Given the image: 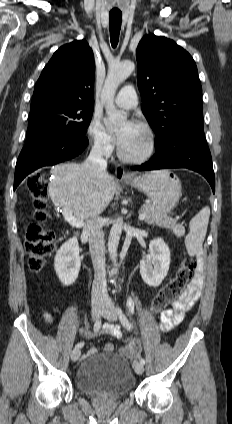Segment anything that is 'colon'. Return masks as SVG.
Segmentation results:
<instances>
[{
	"mask_svg": "<svg viewBox=\"0 0 232 424\" xmlns=\"http://www.w3.org/2000/svg\"><path fill=\"white\" fill-rule=\"evenodd\" d=\"M28 189L33 199L35 213L34 222L30 224L26 233L25 248L28 254L30 270L38 272L43 268L46 258L55 247V236L52 231L45 229L43 226L48 217V196L44 176H32L28 181ZM195 266L196 263L193 258L184 256L181 259L176 275L153 298L151 303L152 312H162L181 295L192 277ZM122 341L128 348L134 347L131 337L126 336Z\"/></svg>",
	"mask_w": 232,
	"mask_h": 424,
	"instance_id": "colon-1",
	"label": "colon"
}]
</instances>
